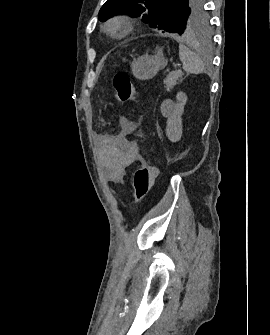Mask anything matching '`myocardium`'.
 Returning a JSON list of instances; mask_svg holds the SVG:
<instances>
[{
    "label": "myocardium",
    "instance_id": "1",
    "mask_svg": "<svg viewBox=\"0 0 270 335\" xmlns=\"http://www.w3.org/2000/svg\"><path fill=\"white\" fill-rule=\"evenodd\" d=\"M132 28V22L124 16L112 17L103 27L105 33L113 38H120L127 35Z\"/></svg>",
    "mask_w": 270,
    "mask_h": 335
}]
</instances>
